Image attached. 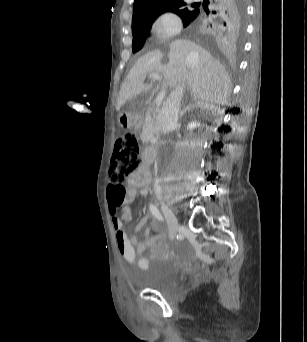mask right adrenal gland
Instances as JSON below:
<instances>
[{
  "instance_id": "1",
  "label": "right adrenal gland",
  "mask_w": 307,
  "mask_h": 342,
  "mask_svg": "<svg viewBox=\"0 0 307 342\" xmlns=\"http://www.w3.org/2000/svg\"><path fill=\"white\" fill-rule=\"evenodd\" d=\"M196 106H198V108H201V104H196ZM191 108H193V106H188V108H185V110H183V112H181V114H186V112H188V110H191Z\"/></svg>"
}]
</instances>
